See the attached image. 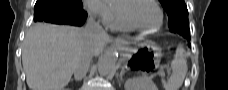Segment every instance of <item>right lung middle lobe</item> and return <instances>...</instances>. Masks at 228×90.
Wrapping results in <instances>:
<instances>
[{
    "mask_svg": "<svg viewBox=\"0 0 228 90\" xmlns=\"http://www.w3.org/2000/svg\"><path fill=\"white\" fill-rule=\"evenodd\" d=\"M39 2L40 0H37L35 5ZM58 2L69 9H82L83 7L82 0H58Z\"/></svg>",
    "mask_w": 228,
    "mask_h": 90,
    "instance_id": "dd1d6c3e",
    "label": "right lung middle lobe"
}]
</instances>
